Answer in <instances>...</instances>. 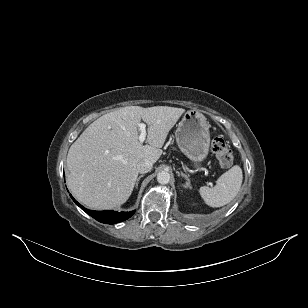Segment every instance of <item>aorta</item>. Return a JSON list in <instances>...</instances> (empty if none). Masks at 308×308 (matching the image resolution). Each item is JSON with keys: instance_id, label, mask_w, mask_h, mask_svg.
<instances>
[{"instance_id": "aorta-1", "label": "aorta", "mask_w": 308, "mask_h": 308, "mask_svg": "<svg viewBox=\"0 0 308 308\" xmlns=\"http://www.w3.org/2000/svg\"><path fill=\"white\" fill-rule=\"evenodd\" d=\"M170 173L168 171H161L157 175V181L160 184H167L170 181Z\"/></svg>"}]
</instances>
